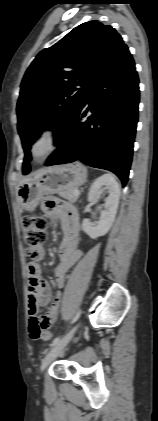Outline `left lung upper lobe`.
<instances>
[{
	"label": "left lung upper lobe",
	"mask_w": 158,
	"mask_h": 421,
	"mask_svg": "<svg viewBox=\"0 0 158 421\" xmlns=\"http://www.w3.org/2000/svg\"><path fill=\"white\" fill-rule=\"evenodd\" d=\"M125 45L110 25L85 22L42 50L26 71L17 103L18 132L30 171V148L45 129L55 142L82 103L89 87Z\"/></svg>",
	"instance_id": "obj_1"
}]
</instances>
